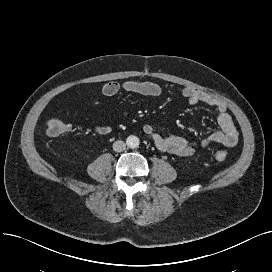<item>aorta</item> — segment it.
I'll use <instances>...</instances> for the list:
<instances>
[{
	"label": "aorta",
	"instance_id": "aorta-1",
	"mask_svg": "<svg viewBox=\"0 0 272 272\" xmlns=\"http://www.w3.org/2000/svg\"><path fill=\"white\" fill-rule=\"evenodd\" d=\"M126 143L129 148L134 149L139 146L140 140L137 136L130 135L129 137H127Z\"/></svg>",
	"mask_w": 272,
	"mask_h": 272
}]
</instances>
